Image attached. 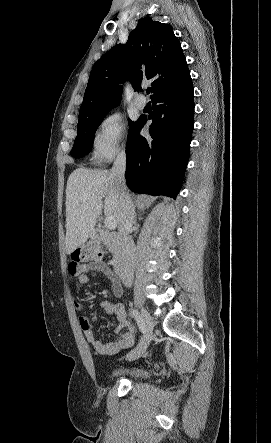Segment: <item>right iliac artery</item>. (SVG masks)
Segmentation results:
<instances>
[{
	"label": "right iliac artery",
	"mask_w": 271,
	"mask_h": 443,
	"mask_svg": "<svg viewBox=\"0 0 271 443\" xmlns=\"http://www.w3.org/2000/svg\"><path fill=\"white\" fill-rule=\"evenodd\" d=\"M130 310H131V313L133 314V316L136 319V322H137V325L139 327V330L143 334H146L147 329H146V325H145V322L143 321L142 317L139 315V313L136 310H134V309H130Z\"/></svg>",
	"instance_id": "obj_1"
}]
</instances>
